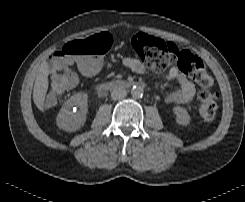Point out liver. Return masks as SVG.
I'll list each match as a JSON object with an SVG mask.
<instances>
[{
  "mask_svg": "<svg viewBox=\"0 0 245 202\" xmlns=\"http://www.w3.org/2000/svg\"><path fill=\"white\" fill-rule=\"evenodd\" d=\"M48 75L49 69L48 64L46 61H43L41 65L38 67V74L34 84V92H33V99L38 107V109L44 112V100L48 90Z\"/></svg>",
  "mask_w": 245,
  "mask_h": 202,
  "instance_id": "liver-1",
  "label": "liver"
}]
</instances>
